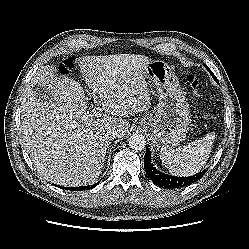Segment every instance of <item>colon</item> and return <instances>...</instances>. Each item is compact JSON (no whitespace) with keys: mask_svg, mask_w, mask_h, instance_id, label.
Here are the masks:
<instances>
[{"mask_svg":"<svg viewBox=\"0 0 249 249\" xmlns=\"http://www.w3.org/2000/svg\"><path fill=\"white\" fill-rule=\"evenodd\" d=\"M73 64H74L73 59L67 58L58 65V71L61 74H66L73 67ZM186 80L189 83L194 95L200 97L201 96L200 83L196 75L194 73H188L186 76Z\"/></svg>","mask_w":249,"mask_h":249,"instance_id":"5ec220e1","label":"colon"}]
</instances>
